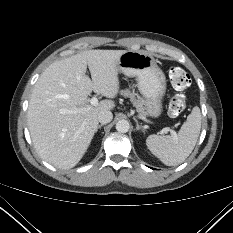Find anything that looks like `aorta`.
Instances as JSON below:
<instances>
[{"instance_id": "obj_1", "label": "aorta", "mask_w": 233, "mask_h": 233, "mask_svg": "<svg viewBox=\"0 0 233 233\" xmlns=\"http://www.w3.org/2000/svg\"><path fill=\"white\" fill-rule=\"evenodd\" d=\"M130 128V124L127 120H119L117 123H116V130L120 133H126L128 132Z\"/></svg>"}]
</instances>
